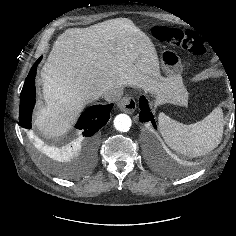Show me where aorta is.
Wrapping results in <instances>:
<instances>
[{
	"instance_id": "762f6f07",
	"label": "aorta",
	"mask_w": 236,
	"mask_h": 236,
	"mask_svg": "<svg viewBox=\"0 0 236 236\" xmlns=\"http://www.w3.org/2000/svg\"><path fill=\"white\" fill-rule=\"evenodd\" d=\"M131 124V118L126 114H119L114 119V127L119 132L129 131Z\"/></svg>"
}]
</instances>
